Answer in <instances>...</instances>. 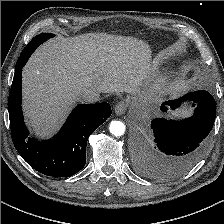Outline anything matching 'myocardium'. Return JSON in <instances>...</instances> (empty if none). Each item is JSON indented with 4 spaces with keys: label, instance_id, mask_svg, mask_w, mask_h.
<instances>
[{
    "label": "myocardium",
    "instance_id": "1",
    "mask_svg": "<svg viewBox=\"0 0 224 224\" xmlns=\"http://www.w3.org/2000/svg\"><path fill=\"white\" fill-rule=\"evenodd\" d=\"M169 80H170L169 74H162L157 78H155L150 87V94L157 95L160 92H162L168 85Z\"/></svg>",
    "mask_w": 224,
    "mask_h": 224
}]
</instances>
